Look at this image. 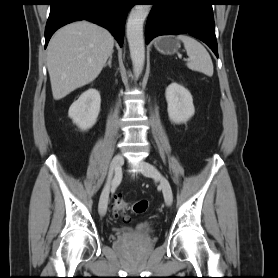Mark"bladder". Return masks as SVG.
Segmentation results:
<instances>
[{"label": "bladder", "instance_id": "1", "mask_svg": "<svg viewBox=\"0 0 278 278\" xmlns=\"http://www.w3.org/2000/svg\"><path fill=\"white\" fill-rule=\"evenodd\" d=\"M127 232H128V231H127L126 229H123V228H122V229H117V230H116V233H117V234H120V235H124V234H126Z\"/></svg>", "mask_w": 278, "mask_h": 278}]
</instances>
